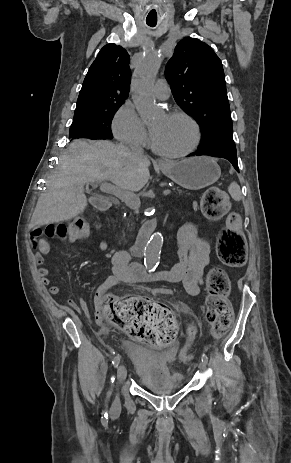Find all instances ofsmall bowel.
Segmentation results:
<instances>
[{
	"label": "small bowel",
	"mask_w": 291,
	"mask_h": 463,
	"mask_svg": "<svg viewBox=\"0 0 291 463\" xmlns=\"http://www.w3.org/2000/svg\"><path fill=\"white\" fill-rule=\"evenodd\" d=\"M33 244L37 249L36 264L39 267L38 273L41 282L44 285L50 284L48 268L43 266L45 258L50 254L51 247L45 238L39 233L34 234ZM63 240L73 241L70 238ZM99 249L105 254H109V246L106 239L99 241ZM210 246L209 243L197 236V230L193 225H184L178 233V262L170 269L150 274L146 276L145 268L132 260L128 251L119 250L112 253V274L106 278L101 289L110 288L119 283H137L164 281L168 283H182L185 290L190 295H197L203 285V272L209 264ZM49 292L53 295H59L61 288L57 285H51ZM69 305L77 313L83 314L90 320V311L87 303L80 299L79 301L69 300ZM96 313L94 321L96 324L101 323L99 311V299H95Z\"/></svg>",
	"instance_id": "1"
}]
</instances>
